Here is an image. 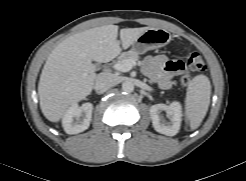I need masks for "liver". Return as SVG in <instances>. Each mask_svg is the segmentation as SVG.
<instances>
[{
    "label": "liver",
    "instance_id": "liver-1",
    "mask_svg": "<svg viewBox=\"0 0 246 181\" xmlns=\"http://www.w3.org/2000/svg\"><path fill=\"white\" fill-rule=\"evenodd\" d=\"M149 27L104 25L74 34L48 56L38 84L40 108L51 122H58L73 104L85 99L97 78L92 61L106 63L128 49Z\"/></svg>",
    "mask_w": 246,
    "mask_h": 181
}]
</instances>
